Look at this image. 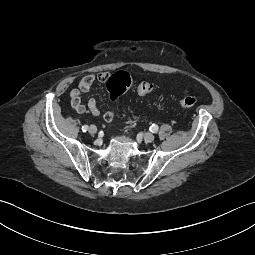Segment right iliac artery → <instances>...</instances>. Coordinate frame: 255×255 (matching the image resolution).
I'll use <instances>...</instances> for the list:
<instances>
[{"label": "right iliac artery", "instance_id": "right-iliac-artery-1", "mask_svg": "<svg viewBox=\"0 0 255 255\" xmlns=\"http://www.w3.org/2000/svg\"><path fill=\"white\" fill-rule=\"evenodd\" d=\"M87 130H88V125L82 126V131H83V132H86Z\"/></svg>", "mask_w": 255, "mask_h": 255}]
</instances>
